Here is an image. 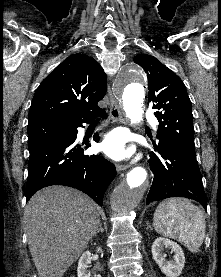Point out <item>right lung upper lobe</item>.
I'll return each instance as SVG.
<instances>
[{
	"instance_id": "obj_1",
	"label": "right lung upper lobe",
	"mask_w": 221,
	"mask_h": 277,
	"mask_svg": "<svg viewBox=\"0 0 221 277\" xmlns=\"http://www.w3.org/2000/svg\"><path fill=\"white\" fill-rule=\"evenodd\" d=\"M106 82V74L92 57L69 56L37 88L28 125L91 117L102 110L97 103L106 93Z\"/></svg>"
}]
</instances>
